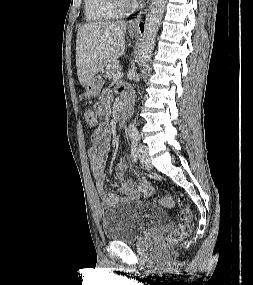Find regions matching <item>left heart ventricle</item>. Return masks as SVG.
Wrapping results in <instances>:
<instances>
[{"label":"left heart ventricle","instance_id":"obj_1","mask_svg":"<svg viewBox=\"0 0 253 285\" xmlns=\"http://www.w3.org/2000/svg\"><path fill=\"white\" fill-rule=\"evenodd\" d=\"M127 3H131L132 2V0H125Z\"/></svg>","mask_w":253,"mask_h":285}]
</instances>
